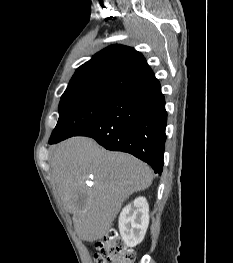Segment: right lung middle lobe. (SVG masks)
Instances as JSON below:
<instances>
[{
	"mask_svg": "<svg viewBox=\"0 0 233 263\" xmlns=\"http://www.w3.org/2000/svg\"><path fill=\"white\" fill-rule=\"evenodd\" d=\"M118 94L89 92L64 95L59 104V120L49 141L64 140L96 121Z\"/></svg>",
	"mask_w": 233,
	"mask_h": 263,
	"instance_id": "obj_1",
	"label": "right lung middle lobe"
}]
</instances>
